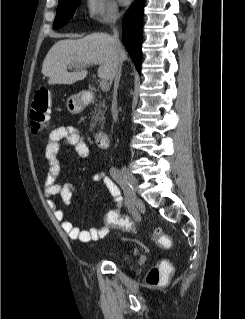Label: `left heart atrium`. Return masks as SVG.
Segmentation results:
<instances>
[{
    "label": "left heart atrium",
    "mask_w": 245,
    "mask_h": 319,
    "mask_svg": "<svg viewBox=\"0 0 245 319\" xmlns=\"http://www.w3.org/2000/svg\"><path fill=\"white\" fill-rule=\"evenodd\" d=\"M130 0H120L121 3L123 4H128Z\"/></svg>",
    "instance_id": "left-heart-atrium-1"
}]
</instances>
